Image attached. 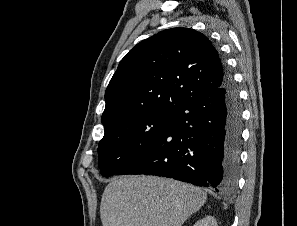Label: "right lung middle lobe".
I'll return each instance as SVG.
<instances>
[{
	"mask_svg": "<svg viewBox=\"0 0 297 226\" xmlns=\"http://www.w3.org/2000/svg\"><path fill=\"white\" fill-rule=\"evenodd\" d=\"M175 111L161 110L134 115L104 128L98 154L101 174H116L142 153L174 120Z\"/></svg>",
	"mask_w": 297,
	"mask_h": 226,
	"instance_id": "1",
	"label": "right lung middle lobe"
}]
</instances>
